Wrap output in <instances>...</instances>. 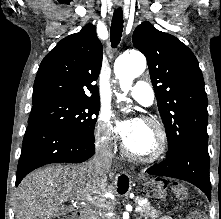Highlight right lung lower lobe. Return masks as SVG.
Instances as JSON below:
<instances>
[{
	"mask_svg": "<svg viewBox=\"0 0 221 219\" xmlns=\"http://www.w3.org/2000/svg\"><path fill=\"white\" fill-rule=\"evenodd\" d=\"M94 142L56 127L28 123L18 163L15 185L32 170L56 162H84L95 153Z\"/></svg>",
	"mask_w": 221,
	"mask_h": 219,
	"instance_id": "obj_1",
	"label": "right lung lower lobe"
}]
</instances>
